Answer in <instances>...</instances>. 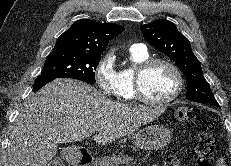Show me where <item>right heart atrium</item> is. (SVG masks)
I'll list each match as a JSON object with an SVG mask.
<instances>
[{"instance_id":"obj_1","label":"right heart atrium","mask_w":231,"mask_h":166,"mask_svg":"<svg viewBox=\"0 0 231 166\" xmlns=\"http://www.w3.org/2000/svg\"><path fill=\"white\" fill-rule=\"evenodd\" d=\"M95 81L99 90L109 97H119L121 94L119 72L115 67L113 51L105 53L95 68Z\"/></svg>"}]
</instances>
